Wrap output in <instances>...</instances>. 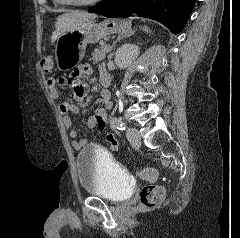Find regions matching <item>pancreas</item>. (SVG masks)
<instances>
[{"instance_id":"obj_1","label":"pancreas","mask_w":240,"mask_h":238,"mask_svg":"<svg viewBox=\"0 0 240 238\" xmlns=\"http://www.w3.org/2000/svg\"><path fill=\"white\" fill-rule=\"evenodd\" d=\"M104 47L105 45L94 50V52L92 53L93 60H95L96 62L104 60L106 56V53L104 52Z\"/></svg>"}]
</instances>
